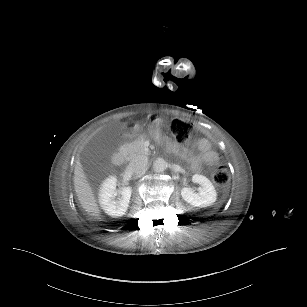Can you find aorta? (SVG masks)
Returning <instances> with one entry per match:
<instances>
[{
	"label": "aorta",
	"instance_id": "obj_1",
	"mask_svg": "<svg viewBox=\"0 0 307 307\" xmlns=\"http://www.w3.org/2000/svg\"><path fill=\"white\" fill-rule=\"evenodd\" d=\"M167 167V162L163 158H157L153 162V170L157 173L163 172Z\"/></svg>",
	"mask_w": 307,
	"mask_h": 307
}]
</instances>
